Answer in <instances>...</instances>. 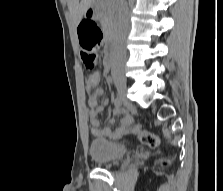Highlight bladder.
Masks as SVG:
<instances>
[{
	"label": "bladder",
	"instance_id": "1",
	"mask_svg": "<svg viewBox=\"0 0 223 191\" xmlns=\"http://www.w3.org/2000/svg\"><path fill=\"white\" fill-rule=\"evenodd\" d=\"M126 153L127 147L122 142L94 139L89 145V155L97 164H111Z\"/></svg>",
	"mask_w": 223,
	"mask_h": 191
}]
</instances>
